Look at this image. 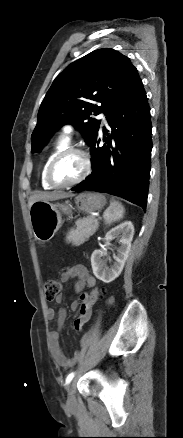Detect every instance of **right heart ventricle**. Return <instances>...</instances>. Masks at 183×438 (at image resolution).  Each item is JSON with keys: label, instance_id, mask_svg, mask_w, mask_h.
<instances>
[{"label": "right heart ventricle", "instance_id": "obj_1", "mask_svg": "<svg viewBox=\"0 0 183 438\" xmlns=\"http://www.w3.org/2000/svg\"><path fill=\"white\" fill-rule=\"evenodd\" d=\"M69 139L68 137H60L53 145L49 153L47 154L42 169H41V183L44 189H53V187L46 180V170L51 159L61 150L65 149L68 146Z\"/></svg>", "mask_w": 183, "mask_h": 438}]
</instances>
